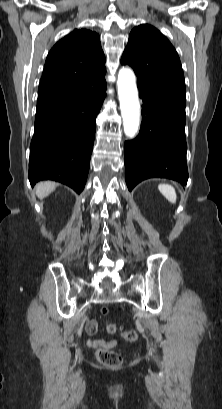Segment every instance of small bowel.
I'll return each mask as SVG.
<instances>
[{"instance_id": "1", "label": "small bowel", "mask_w": 222, "mask_h": 409, "mask_svg": "<svg viewBox=\"0 0 222 409\" xmlns=\"http://www.w3.org/2000/svg\"><path fill=\"white\" fill-rule=\"evenodd\" d=\"M98 329V323L95 320H91L88 322L87 325V333L88 334H95L97 332ZM117 342L116 341H105L103 339H90L89 340V346L92 348H109V347H113L116 346Z\"/></svg>"}]
</instances>
